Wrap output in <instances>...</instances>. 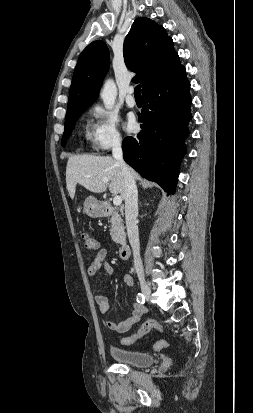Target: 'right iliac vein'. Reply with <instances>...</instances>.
<instances>
[{"label": "right iliac vein", "mask_w": 253, "mask_h": 413, "mask_svg": "<svg viewBox=\"0 0 253 413\" xmlns=\"http://www.w3.org/2000/svg\"><path fill=\"white\" fill-rule=\"evenodd\" d=\"M140 286H141V291H142L143 295L145 296V298H146L147 300H149L150 297H151L150 287H149L148 284H147L145 281H143V280L140 282Z\"/></svg>", "instance_id": "63e3f726"}]
</instances>
